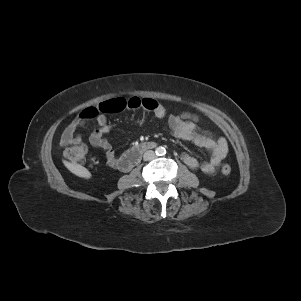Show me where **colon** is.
Here are the masks:
<instances>
[{"instance_id": "5ec220e1", "label": "colon", "mask_w": 301, "mask_h": 301, "mask_svg": "<svg viewBox=\"0 0 301 301\" xmlns=\"http://www.w3.org/2000/svg\"><path fill=\"white\" fill-rule=\"evenodd\" d=\"M163 107L160 105V103L154 99L145 98L140 99L137 97L125 99L122 97L113 98L107 101H104L102 103H99L95 106L88 107L84 109L81 114L90 119L98 116L99 114H106V113H117L120 112L126 108L128 109H137V108H143L146 110H150L153 112H156L160 110V108ZM179 115V114H176ZM181 120H188L193 123L199 122V117L191 112H183L179 115ZM87 146L78 141L75 143H72L68 146H66L63 150V156L65 159L69 160L72 163L76 164H82L86 160L87 156ZM221 172L224 175H228L231 172V167L228 164H224L221 168Z\"/></svg>"}]
</instances>
